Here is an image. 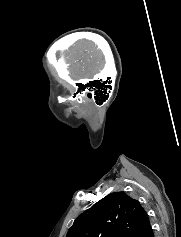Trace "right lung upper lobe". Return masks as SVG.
Segmentation results:
<instances>
[{"mask_svg":"<svg viewBox=\"0 0 181 237\" xmlns=\"http://www.w3.org/2000/svg\"><path fill=\"white\" fill-rule=\"evenodd\" d=\"M146 211L125 192H114L80 214L66 237H153Z\"/></svg>","mask_w":181,"mask_h":237,"instance_id":"cb5924a9","label":"right lung upper lobe"}]
</instances>
